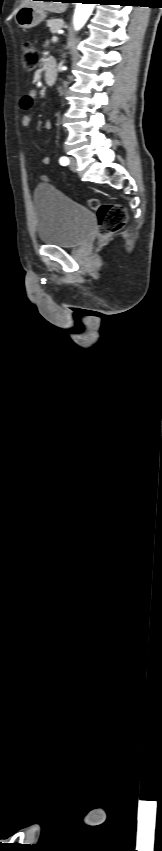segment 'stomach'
I'll return each mask as SVG.
<instances>
[{
	"instance_id": "1",
	"label": "stomach",
	"mask_w": 162,
	"mask_h": 851,
	"mask_svg": "<svg viewBox=\"0 0 162 851\" xmlns=\"http://www.w3.org/2000/svg\"><path fill=\"white\" fill-rule=\"evenodd\" d=\"M46 18V12L32 6L20 7L16 13V23L22 29H30L37 26Z\"/></svg>"
}]
</instances>
